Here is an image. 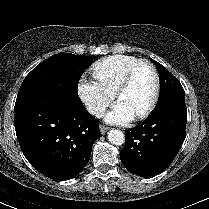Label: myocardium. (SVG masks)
Returning <instances> with one entry per match:
<instances>
[{
	"mask_svg": "<svg viewBox=\"0 0 209 209\" xmlns=\"http://www.w3.org/2000/svg\"><path fill=\"white\" fill-rule=\"evenodd\" d=\"M141 66H147L151 69L153 76H154L155 84H154L153 96L150 102L140 113L134 116L136 120H141L147 117L153 111L159 99L160 76L156 67L151 62L146 61V60L136 62L127 70V72L125 73V75L123 76V78L121 79L120 83L118 84L115 90V98L118 100V97L120 96V94L130 85L135 72Z\"/></svg>",
	"mask_w": 209,
	"mask_h": 209,
	"instance_id": "myocardium-1",
	"label": "myocardium"
}]
</instances>
